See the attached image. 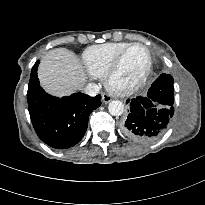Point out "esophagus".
<instances>
[{
    "mask_svg": "<svg viewBox=\"0 0 205 205\" xmlns=\"http://www.w3.org/2000/svg\"><path fill=\"white\" fill-rule=\"evenodd\" d=\"M111 96L109 94L103 93L102 94V101L103 103H109L111 101Z\"/></svg>",
    "mask_w": 205,
    "mask_h": 205,
    "instance_id": "34e87169",
    "label": "esophagus"
}]
</instances>
